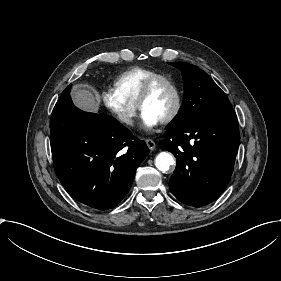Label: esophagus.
Listing matches in <instances>:
<instances>
[{
    "label": "esophagus",
    "instance_id": "1",
    "mask_svg": "<svg viewBox=\"0 0 281 281\" xmlns=\"http://www.w3.org/2000/svg\"><path fill=\"white\" fill-rule=\"evenodd\" d=\"M146 144L150 150H154L156 147V144L152 139H146Z\"/></svg>",
    "mask_w": 281,
    "mask_h": 281
}]
</instances>
